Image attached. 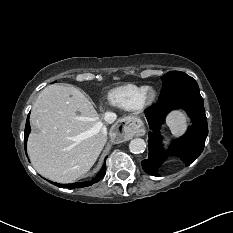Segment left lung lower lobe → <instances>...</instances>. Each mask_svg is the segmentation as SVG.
Here are the masks:
<instances>
[{
  "mask_svg": "<svg viewBox=\"0 0 233 233\" xmlns=\"http://www.w3.org/2000/svg\"><path fill=\"white\" fill-rule=\"evenodd\" d=\"M177 108L184 109L192 119L188 131L171 143L169 154L179 157L189 166L202 153L208 135L207 118L199 87L184 88L171 93L146 112L150 132L148 134V159L141 162L145 172L159 176L158 169L166 158L162 147L160 127L166 115Z\"/></svg>",
  "mask_w": 233,
  "mask_h": 233,
  "instance_id": "1",
  "label": "left lung lower lobe"
}]
</instances>
